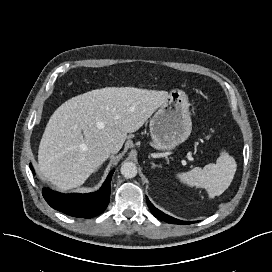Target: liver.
Masks as SVG:
<instances>
[{
    "label": "liver",
    "instance_id": "6515ba94",
    "mask_svg": "<svg viewBox=\"0 0 272 272\" xmlns=\"http://www.w3.org/2000/svg\"><path fill=\"white\" fill-rule=\"evenodd\" d=\"M168 97L166 91L106 87L67 100L43 133L39 172L62 190L82 185L110 156L104 143H115L119 151L127 133L141 128Z\"/></svg>",
    "mask_w": 272,
    "mask_h": 272
}]
</instances>
